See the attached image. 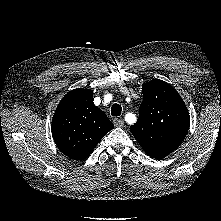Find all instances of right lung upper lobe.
Segmentation results:
<instances>
[{
  "instance_id": "cb5924a9",
  "label": "right lung upper lobe",
  "mask_w": 221,
  "mask_h": 221,
  "mask_svg": "<svg viewBox=\"0 0 221 221\" xmlns=\"http://www.w3.org/2000/svg\"><path fill=\"white\" fill-rule=\"evenodd\" d=\"M114 128L93 103V91L75 89L58 104L52 119V136L59 150L75 160L87 158L100 140Z\"/></svg>"
}]
</instances>
